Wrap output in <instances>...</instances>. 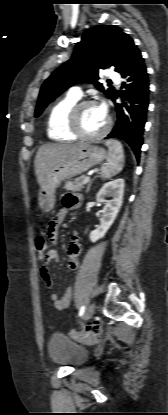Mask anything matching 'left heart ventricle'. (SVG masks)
Returning <instances> with one entry per match:
<instances>
[{"instance_id": "1", "label": "left heart ventricle", "mask_w": 168, "mask_h": 415, "mask_svg": "<svg viewBox=\"0 0 168 415\" xmlns=\"http://www.w3.org/2000/svg\"><path fill=\"white\" fill-rule=\"evenodd\" d=\"M107 117L104 116L96 104L84 107L80 112V125L87 134L99 132L105 125Z\"/></svg>"}]
</instances>
